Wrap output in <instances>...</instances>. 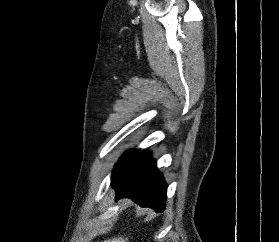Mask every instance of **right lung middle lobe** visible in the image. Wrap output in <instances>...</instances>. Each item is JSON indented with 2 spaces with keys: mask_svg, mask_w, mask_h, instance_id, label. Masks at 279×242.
I'll use <instances>...</instances> for the list:
<instances>
[{
  "mask_svg": "<svg viewBox=\"0 0 279 242\" xmlns=\"http://www.w3.org/2000/svg\"><path fill=\"white\" fill-rule=\"evenodd\" d=\"M139 150H133L123 155L122 159L116 164L113 174H115L125 163H127L132 157H134Z\"/></svg>",
  "mask_w": 279,
  "mask_h": 242,
  "instance_id": "1",
  "label": "right lung middle lobe"
}]
</instances>
